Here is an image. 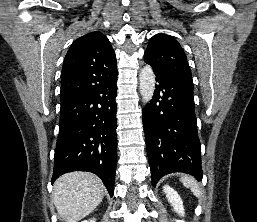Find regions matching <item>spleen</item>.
Here are the masks:
<instances>
[{
	"label": "spleen",
	"instance_id": "obj_1",
	"mask_svg": "<svg viewBox=\"0 0 257 222\" xmlns=\"http://www.w3.org/2000/svg\"><path fill=\"white\" fill-rule=\"evenodd\" d=\"M183 183V185L187 188H190L192 193L196 196V197H200V188L198 186L197 181L189 176H184L181 177L180 179Z\"/></svg>",
	"mask_w": 257,
	"mask_h": 222
}]
</instances>
